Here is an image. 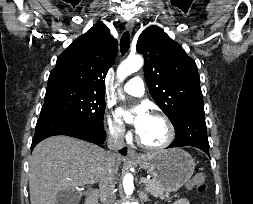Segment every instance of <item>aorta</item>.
<instances>
[{
    "mask_svg": "<svg viewBox=\"0 0 253 204\" xmlns=\"http://www.w3.org/2000/svg\"><path fill=\"white\" fill-rule=\"evenodd\" d=\"M143 65V58L140 55H134L128 57L122 62L117 69V77L120 81H123L130 74L138 71ZM122 96V94H121ZM123 97V96H122ZM125 121H132L133 117L130 115H124ZM124 191L127 195H131L134 190L133 176L126 174L123 179Z\"/></svg>",
    "mask_w": 253,
    "mask_h": 204,
    "instance_id": "obj_1",
    "label": "aorta"
}]
</instances>
